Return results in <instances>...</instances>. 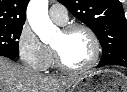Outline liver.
Here are the masks:
<instances>
[{"instance_id":"6515ba94","label":"liver","mask_w":127,"mask_h":92,"mask_svg":"<svg viewBox=\"0 0 127 92\" xmlns=\"http://www.w3.org/2000/svg\"><path fill=\"white\" fill-rule=\"evenodd\" d=\"M78 79L45 76L0 56V92H66Z\"/></svg>"}]
</instances>
